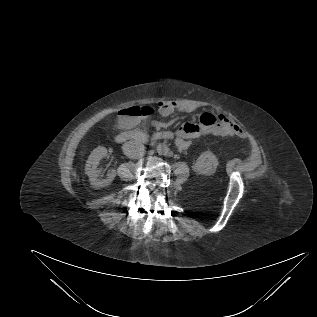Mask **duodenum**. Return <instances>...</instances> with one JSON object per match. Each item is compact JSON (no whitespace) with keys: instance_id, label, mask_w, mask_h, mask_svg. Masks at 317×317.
Returning <instances> with one entry per match:
<instances>
[{"instance_id":"410a0bca","label":"duodenum","mask_w":317,"mask_h":317,"mask_svg":"<svg viewBox=\"0 0 317 317\" xmlns=\"http://www.w3.org/2000/svg\"><path fill=\"white\" fill-rule=\"evenodd\" d=\"M174 134L171 131H157L151 136L147 135L142 131L131 130V131H122L117 133L116 140L120 143L125 142H137V143H147L150 139L152 141H161V140H171Z\"/></svg>"}]
</instances>
